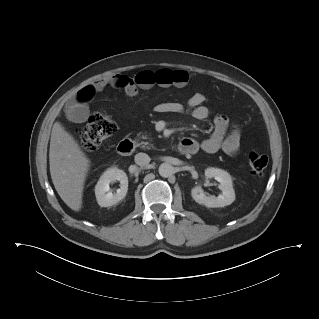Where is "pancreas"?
I'll return each mask as SVG.
<instances>
[{"label": "pancreas", "mask_w": 319, "mask_h": 319, "mask_svg": "<svg viewBox=\"0 0 319 319\" xmlns=\"http://www.w3.org/2000/svg\"><path fill=\"white\" fill-rule=\"evenodd\" d=\"M141 138H142V139H146L147 136L142 135ZM137 146L141 147L142 149H147V150H149V149H151V148H154L153 144H151V143H149V142H144V141H142V142H140V143H137Z\"/></svg>", "instance_id": "obj_1"}]
</instances>
